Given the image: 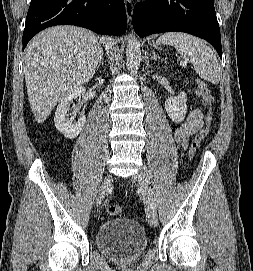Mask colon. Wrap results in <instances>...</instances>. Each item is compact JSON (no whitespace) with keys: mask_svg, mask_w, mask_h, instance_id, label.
I'll use <instances>...</instances> for the list:
<instances>
[{"mask_svg":"<svg viewBox=\"0 0 253 271\" xmlns=\"http://www.w3.org/2000/svg\"><path fill=\"white\" fill-rule=\"evenodd\" d=\"M198 87H199L200 93L202 94L204 104L208 109V112H207V116H206L205 126L193 137V139L191 141L190 149H189L191 156H194L197 153L201 143L203 142V140L205 139V137L207 136V134L211 128L212 119H213V115H212L213 96H212V93H211L208 85L204 82H199ZM121 211H122V209L118 205H109L107 207V213L111 216H117L121 213Z\"/></svg>","mask_w":253,"mask_h":271,"instance_id":"1","label":"colon"}]
</instances>
